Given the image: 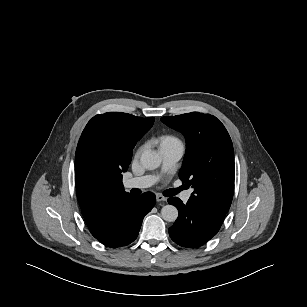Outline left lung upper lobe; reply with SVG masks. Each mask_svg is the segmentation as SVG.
I'll return each instance as SVG.
<instances>
[{
	"mask_svg": "<svg viewBox=\"0 0 307 307\" xmlns=\"http://www.w3.org/2000/svg\"><path fill=\"white\" fill-rule=\"evenodd\" d=\"M167 126L182 132L186 153L179 177L194 192L188 203L222 224L234 193V150L224 125L214 116L192 112L162 117Z\"/></svg>",
	"mask_w": 307,
	"mask_h": 307,
	"instance_id": "5c2ea615",
	"label": "left lung upper lobe"
}]
</instances>
